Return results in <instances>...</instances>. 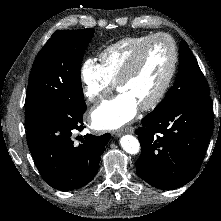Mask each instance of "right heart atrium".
<instances>
[{"mask_svg":"<svg viewBox=\"0 0 221 221\" xmlns=\"http://www.w3.org/2000/svg\"><path fill=\"white\" fill-rule=\"evenodd\" d=\"M80 75L83 94L90 103H100L114 87V83L104 73L100 64L92 58L83 62Z\"/></svg>","mask_w":221,"mask_h":221,"instance_id":"right-heart-atrium-1","label":"right heart atrium"}]
</instances>
